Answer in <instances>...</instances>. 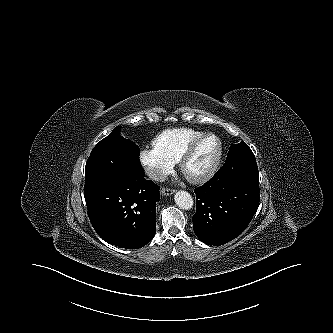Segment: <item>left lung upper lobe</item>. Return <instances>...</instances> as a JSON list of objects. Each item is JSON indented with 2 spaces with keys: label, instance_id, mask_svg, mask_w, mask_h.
<instances>
[{
  "label": "left lung upper lobe",
  "instance_id": "5c2ea615",
  "mask_svg": "<svg viewBox=\"0 0 333 333\" xmlns=\"http://www.w3.org/2000/svg\"><path fill=\"white\" fill-rule=\"evenodd\" d=\"M224 167L237 179H244L259 184V173L255 156L243 141L230 146Z\"/></svg>",
  "mask_w": 333,
  "mask_h": 333
}]
</instances>
